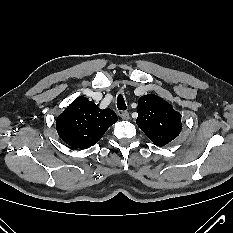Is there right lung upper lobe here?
Segmentation results:
<instances>
[{
    "instance_id": "1",
    "label": "right lung upper lobe",
    "mask_w": 233,
    "mask_h": 233,
    "mask_svg": "<svg viewBox=\"0 0 233 233\" xmlns=\"http://www.w3.org/2000/svg\"><path fill=\"white\" fill-rule=\"evenodd\" d=\"M117 120L116 113L111 109H99L86 97H77L58 116L56 128L66 144L86 149L97 143Z\"/></svg>"
}]
</instances>
